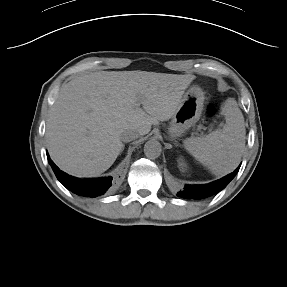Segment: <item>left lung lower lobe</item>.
I'll use <instances>...</instances> for the list:
<instances>
[{
	"label": "left lung lower lobe",
	"instance_id": "1",
	"mask_svg": "<svg viewBox=\"0 0 287 287\" xmlns=\"http://www.w3.org/2000/svg\"><path fill=\"white\" fill-rule=\"evenodd\" d=\"M238 167L233 173L223 177L220 180L214 181L209 184L202 185H186L183 191L178 193V196L186 199L200 200L207 198L213 194L218 193L234 178L236 173L239 171Z\"/></svg>",
	"mask_w": 287,
	"mask_h": 287
}]
</instances>
